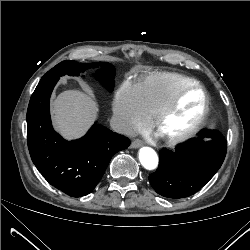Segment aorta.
I'll return each instance as SVG.
<instances>
[{
	"label": "aorta",
	"instance_id": "1",
	"mask_svg": "<svg viewBox=\"0 0 250 250\" xmlns=\"http://www.w3.org/2000/svg\"><path fill=\"white\" fill-rule=\"evenodd\" d=\"M139 160L142 166L147 170H153L158 165V156L150 147H142L140 149Z\"/></svg>",
	"mask_w": 250,
	"mask_h": 250
}]
</instances>
